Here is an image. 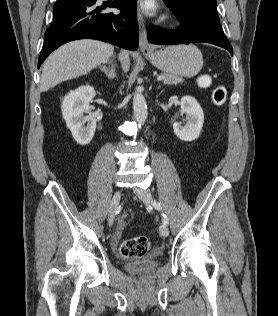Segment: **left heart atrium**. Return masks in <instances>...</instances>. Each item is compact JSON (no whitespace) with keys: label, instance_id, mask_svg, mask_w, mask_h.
I'll list each match as a JSON object with an SVG mask.
<instances>
[{"label":"left heart atrium","instance_id":"left-heart-atrium-1","mask_svg":"<svg viewBox=\"0 0 278 316\" xmlns=\"http://www.w3.org/2000/svg\"><path fill=\"white\" fill-rule=\"evenodd\" d=\"M146 9L149 12H153L154 11V5H153V3L151 1L147 2Z\"/></svg>","mask_w":278,"mask_h":316}]
</instances>
